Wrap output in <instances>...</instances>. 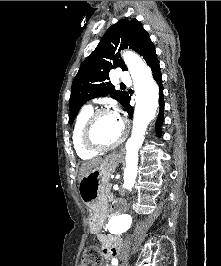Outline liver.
I'll list each match as a JSON object with an SVG mask.
<instances>
[{
	"instance_id": "liver-1",
	"label": "liver",
	"mask_w": 221,
	"mask_h": 266,
	"mask_svg": "<svg viewBox=\"0 0 221 266\" xmlns=\"http://www.w3.org/2000/svg\"><path fill=\"white\" fill-rule=\"evenodd\" d=\"M102 161V158L97 157L95 159L84 162L80 167L78 181H80L87 172H89L92 168L98 166Z\"/></svg>"
}]
</instances>
